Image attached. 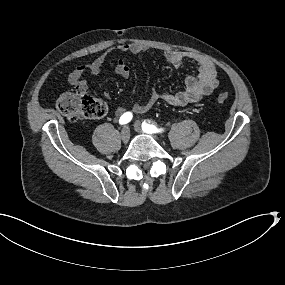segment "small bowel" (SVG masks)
Masks as SVG:
<instances>
[{"instance_id":"c3829d8e","label":"small bowel","mask_w":285,"mask_h":285,"mask_svg":"<svg viewBox=\"0 0 285 285\" xmlns=\"http://www.w3.org/2000/svg\"><path fill=\"white\" fill-rule=\"evenodd\" d=\"M121 52H128L133 55H140L146 52V47L135 42L120 43L115 48ZM108 53H102L92 62L86 65L78 66L69 76V83L78 90L87 91V83L84 79L86 74H97L101 71ZM165 59L174 67H180L184 61L190 60L197 66V73L189 75L185 78L184 88L174 93H160L153 90L145 102L136 103L133 106L135 113H144L148 111L159 100L174 106H185L189 103H194L202 99L204 96L212 93L219 85L217 70L215 65L205 56L178 50H167L164 52ZM116 71L122 77H128L130 74L129 67L119 61L116 66ZM105 97H110L108 92L104 93ZM126 109L118 107L116 114L122 116Z\"/></svg>"}]
</instances>
